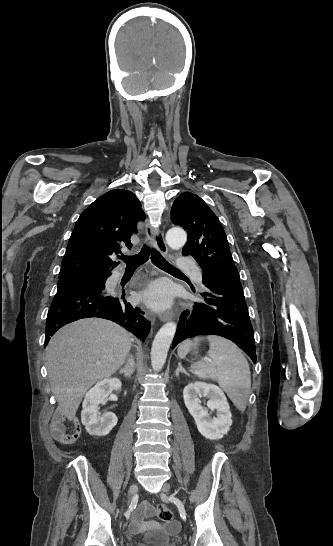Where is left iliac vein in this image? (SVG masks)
<instances>
[{
	"instance_id": "1",
	"label": "left iliac vein",
	"mask_w": 333,
	"mask_h": 546,
	"mask_svg": "<svg viewBox=\"0 0 333 546\" xmlns=\"http://www.w3.org/2000/svg\"><path fill=\"white\" fill-rule=\"evenodd\" d=\"M169 489H170V485H169V484H165V485L163 486V492H167Z\"/></svg>"
}]
</instances>
